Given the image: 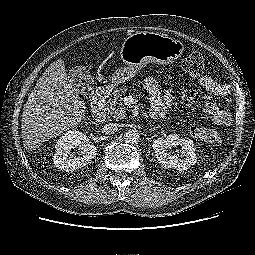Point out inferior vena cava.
<instances>
[{
  "label": "inferior vena cava",
  "mask_w": 255,
  "mask_h": 255,
  "mask_svg": "<svg viewBox=\"0 0 255 255\" xmlns=\"http://www.w3.org/2000/svg\"><path fill=\"white\" fill-rule=\"evenodd\" d=\"M119 128V124L108 123L103 127V133L105 134H114Z\"/></svg>",
  "instance_id": "obj_1"
}]
</instances>
